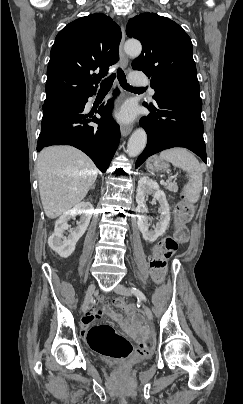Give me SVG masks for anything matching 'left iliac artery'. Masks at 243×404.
I'll return each mask as SVG.
<instances>
[{
    "label": "left iliac artery",
    "instance_id": "44dca946",
    "mask_svg": "<svg viewBox=\"0 0 243 404\" xmlns=\"http://www.w3.org/2000/svg\"><path fill=\"white\" fill-rule=\"evenodd\" d=\"M130 290L134 295L137 296L138 299L143 300L144 302H147L146 296L139 289L132 287V288H130Z\"/></svg>",
    "mask_w": 243,
    "mask_h": 404
}]
</instances>
